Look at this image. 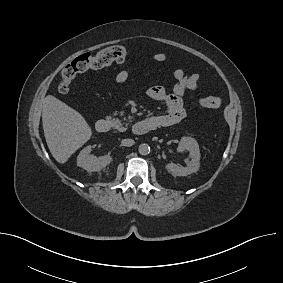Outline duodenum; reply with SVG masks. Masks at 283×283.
I'll use <instances>...</instances> for the list:
<instances>
[{"instance_id": "duodenum-1", "label": "duodenum", "mask_w": 283, "mask_h": 283, "mask_svg": "<svg viewBox=\"0 0 283 283\" xmlns=\"http://www.w3.org/2000/svg\"><path fill=\"white\" fill-rule=\"evenodd\" d=\"M96 131L101 134H105L111 129V122L107 119H100L95 125ZM157 128V123L151 119L146 118L135 123L132 127V132L136 135H144Z\"/></svg>"}]
</instances>
